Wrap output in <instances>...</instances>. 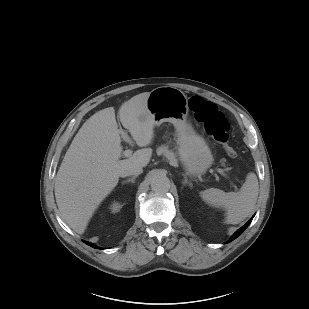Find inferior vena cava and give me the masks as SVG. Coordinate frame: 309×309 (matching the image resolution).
Masks as SVG:
<instances>
[{
    "label": "inferior vena cava",
    "mask_w": 309,
    "mask_h": 309,
    "mask_svg": "<svg viewBox=\"0 0 309 309\" xmlns=\"http://www.w3.org/2000/svg\"><path fill=\"white\" fill-rule=\"evenodd\" d=\"M143 172L142 167L140 166H133V167H129L125 170H123L120 174L121 177H126V176H131V175H139Z\"/></svg>",
    "instance_id": "1"
}]
</instances>
